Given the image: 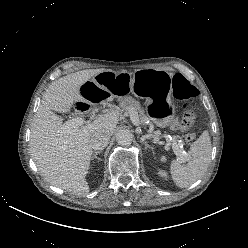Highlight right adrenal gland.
I'll return each instance as SVG.
<instances>
[{
  "label": "right adrenal gland",
  "mask_w": 248,
  "mask_h": 248,
  "mask_svg": "<svg viewBox=\"0 0 248 248\" xmlns=\"http://www.w3.org/2000/svg\"><path fill=\"white\" fill-rule=\"evenodd\" d=\"M102 151L100 150V151H96L94 154H93V156L91 157V159L93 160V159H98L97 158V155L98 154H100ZM99 160V159H98Z\"/></svg>",
  "instance_id": "right-adrenal-gland-1"
}]
</instances>
